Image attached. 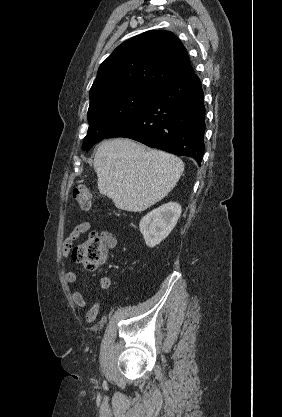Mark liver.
Returning <instances> with one entry per match:
<instances>
[{
  "mask_svg": "<svg viewBox=\"0 0 282 417\" xmlns=\"http://www.w3.org/2000/svg\"><path fill=\"white\" fill-rule=\"evenodd\" d=\"M98 188L117 209L139 213L162 200L183 170L178 156L163 150H146L131 138H110L98 146L94 158Z\"/></svg>",
  "mask_w": 282,
  "mask_h": 417,
  "instance_id": "6515ba94",
  "label": "liver"
}]
</instances>
